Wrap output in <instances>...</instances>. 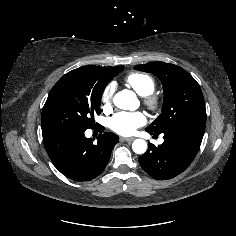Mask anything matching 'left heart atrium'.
<instances>
[{
  "mask_svg": "<svg viewBox=\"0 0 236 236\" xmlns=\"http://www.w3.org/2000/svg\"><path fill=\"white\" fill-rule=\"evenodd\" d=\"M146 123L142 112H118L109 119V127L116 133L124 136L132 135Z\"/></svg>",
  "mask_w": 236,
  "mask_h": 236,
  "instance_id": "left-heart-atrium-1",
  "label": "left heart atrium"
}]
</instances>
